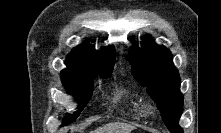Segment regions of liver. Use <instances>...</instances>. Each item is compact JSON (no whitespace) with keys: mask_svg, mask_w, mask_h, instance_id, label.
<instances>
[{"mask_svg":"<svg viewBox=\"0 0 221 133\" xmlns=\"http://www.w3.org/2000/svg\"><path fill=\"white\" fill-rule=\"evenodd\" d=\"M133 126L122 123H110L99 127L91 133H131Z\"/></svg>","mask_w":221,"mask_h":133,"instance_id":"1","label":"liver"}]
</instances>
